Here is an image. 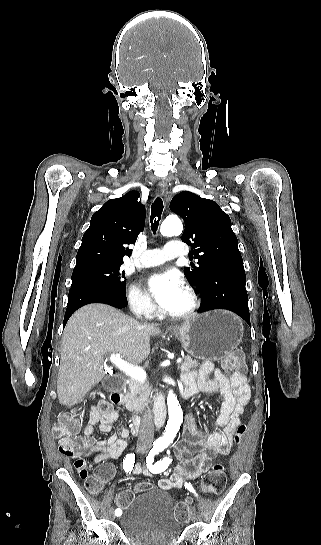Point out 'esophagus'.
I'll return each instance as SVG.
<instances>
[{
  "mask_svg": "<svg viewBox=\"0 0 321 545\" xmlns=\"http://www.w3.org/2000/svg\"><path fill=\"white\" fill-rule=\"evenodd\" d=\"M168 187L167 185L160 186V196H165L167 194Z\"/></svg>",
  "mask_w": 321,
  "mask_h": 545,
  "instance_id": "34e87169",
  "label": "esophagus"
}]
</instances>
